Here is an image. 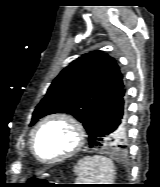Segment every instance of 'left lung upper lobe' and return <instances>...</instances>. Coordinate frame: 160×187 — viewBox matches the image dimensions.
<instances>
[{"instance_id":"5c2ea615","label":"left lung upper lobe","mask_w":160,"mask_h":187,"mask_svg":"<svg viewBox=\"0 0 160 187\" xmlns=\"http://www.w3.org/2000/svg\"><path fill=\"white\" fill-rule=\"evenodd\" d=\"M122 74L116 61L102 51H92L71 62L53 80L45 97L36 106L33 125L39 118L54 113L76 117L89 132L105 104L124 88ZM123 140L124 127L113 134Z\"/></svg>"}]
</instances>
